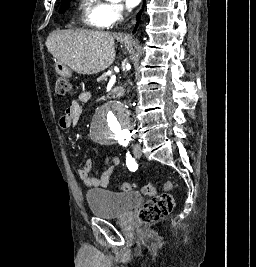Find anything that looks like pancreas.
Here are the masks:
<instances>
[{"label":"pancreas","instance_id":"obj_1","mask_svg":"<svg viewBox=\"0 0 256 267\" xmlns=\"http://www.w3.org/2000/svg\"><path fill=\"white\" fill-rule=\"evenodd\" d=\"M101 80H108L107 76H105V74H103V76H100ZM112 94H116L117 98L118 96H122V94H124V90L123 88H117V90H115V92H112Z\"/></svg>","mask_w":256,"mask_h":267}]
</instances>
